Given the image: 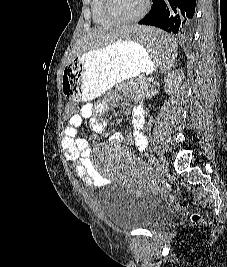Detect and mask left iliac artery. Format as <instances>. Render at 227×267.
<instances>
[{
	"mask_svg": "<svg viewBox=\"0 0 227 267\" xmlns=\"http://www.w3.org/2000/svg\"><path fill=\"white\" fill-rule=\"evenodd\" d=\"M154 161H155V157L152 158V163H154Z\"/></svg>",
	"mask_w": 227,
	"mask_h": 267,
	"instance_id": "44dca946",
	"label": "left iliac artery"
}]
</instances>
